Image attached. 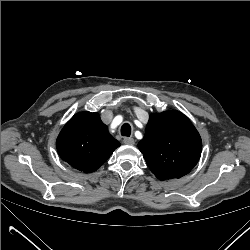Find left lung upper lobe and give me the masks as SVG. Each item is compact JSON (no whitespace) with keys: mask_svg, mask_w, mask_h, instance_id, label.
<instances>
[{"mask_svg":"<svg viewBox=\"0 0 250 250\" xmlns=\"http://www.w3.org/2000/svg\"><path fill=\"white\" fill-rule=\"evenodd\" d=\"M138 148L152 173L160 180L181 178L199 161L201 137L180 111L150 115Z\"/></svg>","mask_w":250,"mask_h":250,"instance_id":"obj_1","label":"left lung upper lobe"}]
</instances>
